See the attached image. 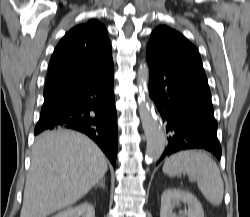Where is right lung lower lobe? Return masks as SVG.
Here are the masks:
<instances>
[{
  "label": "right lung lower lobe",
  "instance_id": "1",
  "mask_svg": "<svg viewBox=\"0 0 250 217\" xmlns=\"http://www.w3.org/2000/svg\"><path fill=\"white\" fill-rule=\"evenodd\" d=\"M65 128L88 135L115 167L118 128L113 65L86 82L44 95L35 135Z\"/></svg>",
  "mask_w": 250,
  "mask_h": 217
}]
</instances>
